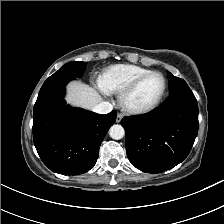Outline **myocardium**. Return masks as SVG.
<instances>
[{
  "mask_svg": "<svg viewBox=\"0 0 224 224\" xmlns=\"http://www.w3.org/2000/svg\"><path fill=\"white\" fill-rule=\"evenodd\" d=\"M152 75H159L163 79V89L159 96L153 101L151 104L146 106H133L129 103L130 97L133 95V93L137 90V88L140 86V84L145 81L148 77ZM167 78L165 75L159 71H151L148 73H145L139 77H137L134 81H132L121 93L119 96L120 105L126 112L134 115H141L146 114L148 112H151L154 110L162 101L164 98L166 91H167Z\"/></svg>",
  "mask_w": 224,
  "mask_h": 224,
  "instance_id": "myocardium-1",
  "label": "myocardium"
}]
</instances>
